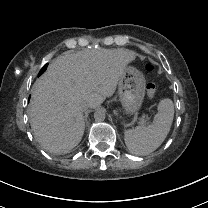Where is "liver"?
<instances>
[{"label": "liver", "mask_w": 208, "mask_h": 208, "mask_svg": "<svg viewBox=\"0 0 208 208\" xmlns=\"http://www.w3.org/2000/svg\"><path fill=\"white\" fill-rule=\"evenodd\" d=\"M135 57L128 49H86L54 59L32 89L29 116L36 140L55 154L77 146L85 129L80 103L96 108L112 96Z\"/></svg>", "instance_id": "liver-1"}]
</instances>
